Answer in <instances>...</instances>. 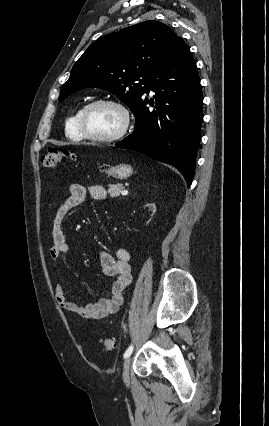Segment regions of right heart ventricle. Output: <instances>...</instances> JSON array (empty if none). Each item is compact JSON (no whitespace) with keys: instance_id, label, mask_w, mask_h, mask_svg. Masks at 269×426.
I'll use <instances>...</instances> for the list:
<instances>
[{"instance_id":"obj_1","label":"right heart ventricle","mask_w":269,"mask_h":426,"mask_svg":"<svg viewBox=\"0 0 269 426\" xmlns=\"http://www.w3.org/2000/svg\"><path fill=\"white\" fill-rule=\"evenodd\" d=\"M83 107L77 108L66 121V135L73 140L84 139L79 127V116Z\"/></svg>"}]
</instances>
